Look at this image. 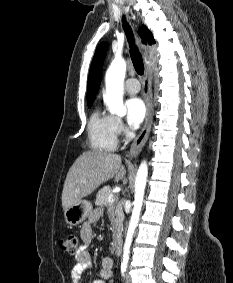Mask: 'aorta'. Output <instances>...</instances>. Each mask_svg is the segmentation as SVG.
I'll return each instance as SVG.
<instances>
[{
	"label": "aorta",
	"instance_id": "aorta-1",
	"mask_svg": "<svg viewBox=\"0 0 233 283\" xmlns=\"http://www.w3.org/2000/svg\"><path fill=\"white\" fill-rule=\"evenodd\" d=\"M126 74V61L121 57H116L110 64L106 76V92L103 95V100L108 110L112 114L124 116L126 107L123 104L124 79ZM148 177V166L146 161H143L138 169L135 180V200L132 211L129 227L126 234V239L123 249L122 263L127 264L129 260L130 246L133 234L137 227L141 208L143 205L144 192Z\"/></svg>",
	"mask_w": 233,
	"mask_h": 283
}]
</instances>
